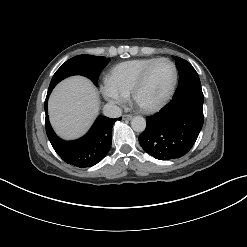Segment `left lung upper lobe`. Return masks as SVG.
Instances as JSON below:
<instances>
[{"instance_id":"1","label":"left lung upper lobe","mask_w":247,"mask_h":247,"mask_svg":"<svg viewBox=\"0 0 247 247\" xmlns=\"http://www.w3.org/2000/svg\"><path fill=\"white\" fill-rule=\"evenodd\" d=\"M176 66L179 71V83L177 90L186 87H201L200 79L192 65L182 58H175Z\"/></svg>"}]
</instances>
